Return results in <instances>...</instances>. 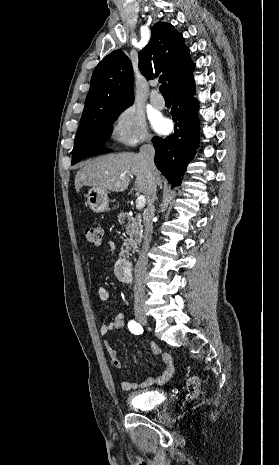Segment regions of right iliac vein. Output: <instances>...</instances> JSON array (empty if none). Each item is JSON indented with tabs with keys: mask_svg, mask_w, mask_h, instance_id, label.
I'll list each match as a JSON object with an SVG mask.
<instances>
[{
	"mask_svg": "<svg viewBox=\"0 0 279 465\" xmlns=\"http://www.w3.org/2000/svg\"><path fill=\"white\" fill-rule=\"evenodd\" d=\"M135 317L142 325L148 324V319L143 308L139 307L135 309Z\"/></svg>",
	"mask_w": 279,
	"mask_h": 465,
	"instance_id": "1",
	"label": "right iliac vein"
}]
</instances>
